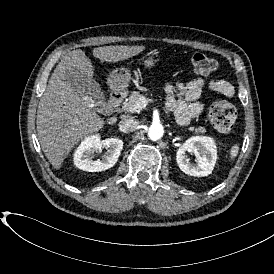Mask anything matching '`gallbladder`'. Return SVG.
<instances>
[{"label": "gallbladder", "mask_w": 274, "mask_h": 274, "mask_svg": "<svg viewBox=\"0 0 274 274\" xmlns=\"http://www.w3.org/2000/svg\"><path fill=\"white\" fill-rule=\"evenodd\" d=\"M66 82L73 86L75 91L83 97L84 103L89 106L95 116H102L108 110V103L100 85L92 80L91 76L78 67H71L65 73Z\"/></svg>", "instance_id": "bac80fb5"}]
</instances>
